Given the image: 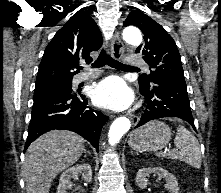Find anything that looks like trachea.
Returning a JSON list of instances; mask_svg holds the SVG:
<instances>
[{"mask_svg": "<svg viewBox=\"0 0 221 193\" xmlns=\"http://www.w3.org/2000/svg\"><path fill=\"white\" fill-rule=\"evenodd\" d=\"M105 64L114 67V68H132V69H138L136 67H132L129 65H125L123 63L118 62L117 60H114L113 58H111L107 52L102 49L97 60L92 64V67L94 68H100L103 67ZM78 69H83V67H79Z\"/></svg>", "mask_w": 221, "mask_h": 193, "instance_id": "3493384b", "label": "trachea"}]
</instances>
